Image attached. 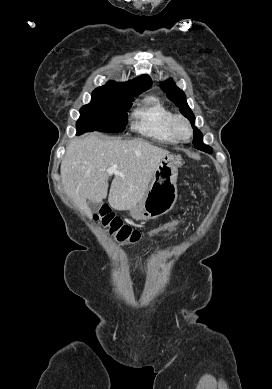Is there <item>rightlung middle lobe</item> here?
Wrapping results in <instances>:
<instances>
[{
  "label": "right lung middle lobe",
  "mask_w": 272,
  "mask_h": 389,
  "mask_svg": "<svg viewBox=\"0 0 272 389\" xmlns=\"http://www.w3.org/2000/svg\"><path fill=\"white\" fill-rule=\"evenodd\" d=\"M135 95L94 90L92 100L80 109L77 134L85 132H120L128 122L127 111Z\"/></svg>",
  "instance_id": "dd1d6c3e"
}]
</instances>
